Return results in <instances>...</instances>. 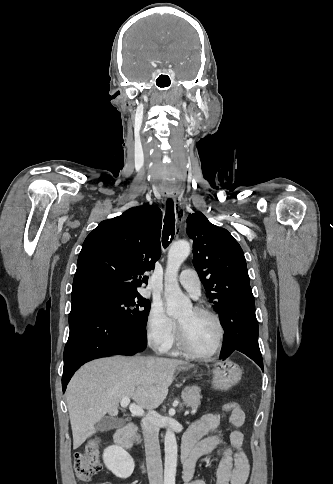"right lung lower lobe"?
<instances>
[{"label": "right lung lower lobe", "instance_id": "obj_1", "mask_svg": "<svg viewBox=\"0 0 333 484\" xmlns=\"http://www.w3.org/2000/svg\"><path fill=\"white\" fill-rule=\"evenodd\" d=\"M69 327L64 350L63 392L74 372L87 361L109 355H134L147 345L146 332L131 329L101 301L87 295L72 299Z\"/></svg>", "mask_w": 333, "mask_h": 484}]
</instances>
